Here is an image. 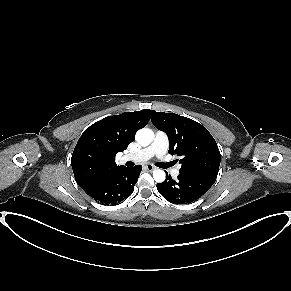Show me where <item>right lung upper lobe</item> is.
Here are the masks:
<instances>
[{"mask_svg": "<svg viewBox=\"0 0 291 291\" xmlns=\"http://www.w3.org/2000/svg\"><path fill=\"white\" fill-rule=\"evenodd\" d=\"M151 112L144 109L109 116L83 132L71 158L75 180L83 190L125 167L116 165L115 156L134 140L137 130L147 125Z\"/></svg>", "mask_w": 291, "mask_h": 291, "instance_id": "obj_1", "label": "right lung upper lobe"}]
</instances>
